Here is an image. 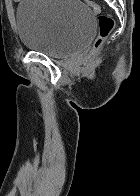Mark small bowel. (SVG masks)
Segmentation results:
<instances>
[{
    "label": "small bowel",
    "instance_id": "c3829d8e",
    "mask_svg": "<svg viewBox=\"0 0 140 196\" xmlns=\"http://www.w3.org/2000/svg\"><path fill=\"white\" fill-rule=\"evenodd\" d=\"M15 2H20V0H14Z\"/></svg>",
    "mask_w": 140,
    "mask_h": 196
}]
</instances>
